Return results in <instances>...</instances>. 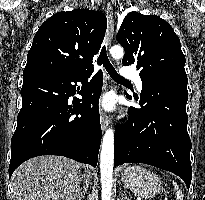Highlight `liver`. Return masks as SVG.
Here are the masks:
<instances>
[{
    "mask_svg": "<svg viewBox=\"0 0 205 200\" xmlns=\"http://www.w3.org/2000/svg\"><path fill=\"white\" fill-rule=\"evenodd\" d=\"M80 163L59 156H39L12 175L13 200H78Z\"/></svg>",
    "mask_w": 205,
    "mask_h": 200,
    "instance_id": "1",
    "label": "liver"
}]
</instances>
